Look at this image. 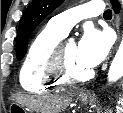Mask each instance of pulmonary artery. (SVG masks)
Wrapping results in <instances>:
<instances>
[{"instance_id": "1", "label": "pulmonary artery", "mask_w": 123, "mask_h": 113, "mask_svg": "<svg viewBox=\"0 0 123 113\" xmlns=\"http://www.w3.org/2000/svg\"><path fill=\"white\" fill-rule=\"evenodd\" d=\"M103 1H91L71 8L50 19L48 26L67 35L70 29L80 20L99 15L103 12Z\"/></svg>"}]
</instances>
